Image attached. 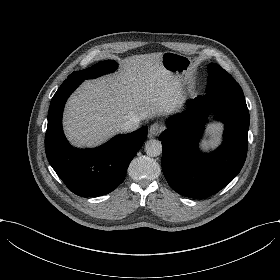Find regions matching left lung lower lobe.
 <instances>
[{
  "mask_svg": "<svg viewBox=\"0 0 280 280\" xmlns=\"http://www.w3.org/2000/svg\"><path fill=\"white\" fill-rule=\"evenodd\" d=\"M210 113L225 124L224 141L211 154L197 144ZM162 141V170L177 193L209 197L230 183L244 165L248 147L249 111L238 83L196 97L185 113L170 118Z\"/></svg>",
  "mask_w": 280,
  "mask_h": 280,
  "instance_id": "1",
  "label": "left lung lower lobe"
}]
</instances>
